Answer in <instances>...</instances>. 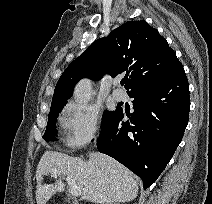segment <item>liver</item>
I'll return each instance as SVG.
<instances>
[{
    "label": "liver",
    "mask_w": 212,
    "mask_h": 204,
    "mask_svg": "<svg viewBox=\"0 0 212 204\" xmlns=\"http://www.w3.org/2000/svg\"><path fill=\"white\" fill-rule=\"evenodd\" d=\"M88 161L64 153L46 151L36 170V201L46 202L57 192L65 189L63 176L73 179L81 190L83 200L95 204L129 202L138 194V184L133 174L113 158L92 152ZM56 169L54 184H42L43 177Z\"/></svg>",
    "instance_id": "1"
}]
</instances>
